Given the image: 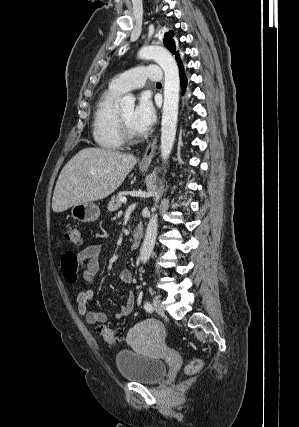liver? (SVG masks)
Segmentation results:
<instances>
[{
    "instance_id": "liver-1",
    "label": "liver",
    "mask_w": 299,
    "mask_h": 427,
    "mask_svg": "<svg viewBox=\"0 0 299 427\" xmlns=\"http://www.w3.org/2000/svg\"><path fill=\"white\" fill-rule=\"evenodd\" d=\"M137 163L131 154L102 148L80 150L62 169L53 193L52 209L59 213L112 194Z\"/></svg>"
}]
</instances>
